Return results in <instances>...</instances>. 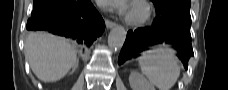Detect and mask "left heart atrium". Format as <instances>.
I'll use <instances>...</instances> for the list:
<instances>
[{"label": "left heart atrium", "instance_id": "1", "mask_svg": "<svg viewBox=\"0 0 228 90\" xmlns=\"http://www.w3.org/2000/svg\"><path fill=\"white\" fill-rule=\"evenodd\" d=\"M118 8L120 9V11L122 13H127L128 12V7H127L126 3H122L121 5L118 6Z\"/></svg>", "mask_w": 228, "mask_h": 90}]
</instances>
